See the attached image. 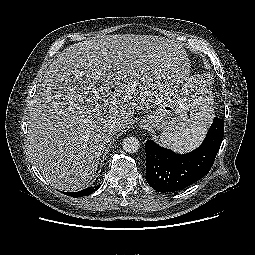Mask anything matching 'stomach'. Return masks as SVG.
Wrapping results in <instances>:
<instances>
[{
	"mask_svg": "<svg viewBox=\"0 0 255 255\" xmlns=\"http://www.w3.org/2000/svg\"><path fill=\"white\" fill-rule=\"evenodd\" d=\"M188 103L181 87L173 88L164 101L141 120V125L151 126L164 132L184 130L190 125L187 114Z\"/></svg>",
	"mask_w": 255,
	"mask_h": 255,
	"instance_id": "1",
	"label": "stomach"
}]
</instances>
